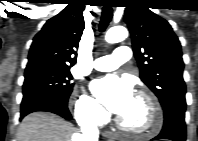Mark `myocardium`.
I'll use <instances>...</instances> for the list:
<instances>
[{
	"label": "myocardium",
	"instance_id": "f54148a6",
	"mask_svg": "<svg viewBox=\"0 0 198 141\" xmlns=\"http://www.w3.org/2000/svg\"><path fill=\"white\" fill-rule=\"evenodd\" d=\"M136 97L142 100L147 108H148V115H149V126L144 129H136L129 127L126 125L120 117L117 118L118 127L131 135L134 136H146V135H153L155 134L161 125V114L159 110V106L156 100L144 91H139L136 94Z\"/></svg>",
	"mask_w": 198,
	"mask_h": 141
}]
</instances>
